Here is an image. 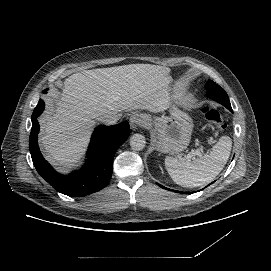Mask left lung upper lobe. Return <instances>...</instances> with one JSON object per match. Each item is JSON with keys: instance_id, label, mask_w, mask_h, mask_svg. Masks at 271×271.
I'll use <instances>...</instances> for the list:
<instances>
[{"instance_id": "1", "label": "left lung upper lobe", "mask_w": 271, "mask_h": 271, "mask_svg": "<svg viewBox=\"0 0 271 271\" xmlns=\"http://www.w3.org/2000/svg\"><path fill=\"white\" fill-rule=\"evenodd\" d=\"M206 87L208 89L207 97L219 102L220 104L225 106L228 110H232L228 95L223 88H221L212 80L207 82Z\"/></svg>"}]
</instances>
